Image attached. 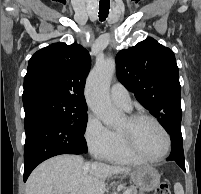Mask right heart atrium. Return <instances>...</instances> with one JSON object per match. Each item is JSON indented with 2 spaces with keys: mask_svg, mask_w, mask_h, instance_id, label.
<instances>
[{
  "mask_svg": "<svg viewBox=\"0 0 201 194\" xmlns=\"http://www.w3.org/2000/svg\"><path fill=\"white\" fill-rule=\"evenodd\" d=\"M84 139L90 152L97 158H104L114 145V131L109 129L94 113H89Z\"/></svg>",
  "mask_w": 201,
  "mask_h": 194,
  "instance_id": "obj_1",
  "label": "right heart atrium"
}]
</instances>
